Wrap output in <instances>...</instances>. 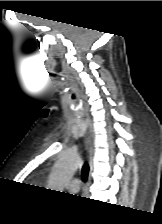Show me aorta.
I'll list each match as a JSON object with an SVG mask.
<instances>
[{
  "label": "aorta",
  "instance_id": "762f6f07",
  "mask_svg": "<svg viewBox=\"0 0 162 224\" xmlns=\"http://www.w3.org/2000/svg\"><path fill=\"white\" fill-rule=\"evenodd\" d=\"M80 157L76 154L62 156L53 167L48 187L51 190H63L64 183L71 179L80 166Z\"/></svg>",
  "mask_w": 162,
  "mask_h": 224
}]
</instances>
